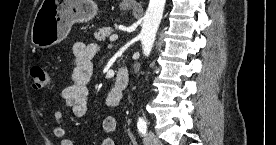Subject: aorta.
I'll use <instances>...</instances> for the list:
<instances>
[{"instance_id":"1","label":"aorta","mask_w":276,"mask_h":145,"mask_svg":"<svg viewBox=\"0 0 276 145\" xmlns=\"http://www.w3.org/2000/svg\"><path fill=\"white\" fill-rule=\"evenodd\" d=\"M166 0H149L144 16L140 39L145 56H149L155 41L156 33L162 20Z\"/></svg>"}]
</instances>
